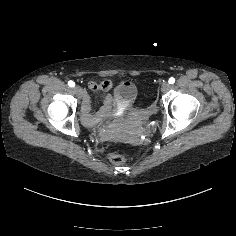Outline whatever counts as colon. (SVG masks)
Wrapping results in <instances>:
<instances>
[{
    "instance_id": "1",
    "label": "colon",
    "mask_w": 236,
    "mask_h": 236,
    "mask_svg": "<svg viewBox=\"0 0 236 236\" xmlns=\"http://www.w3.org/2000/svg\"><path fill=\"white\" fill-rule=\"evenodd\" d=\"M111 161L116 165H122L126 162V157L120 153H114L111 155Z\"/></svg>"
}]
</instances>
